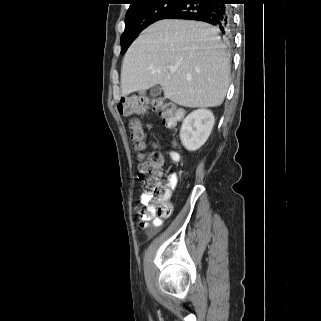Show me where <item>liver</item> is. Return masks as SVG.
<instances>
[{"label": "liver", "instance_id": "1", "mask_svg": "<svg viewBox=\"0 0 321 321\" xmlns=\"http://www.w3.org/2000/svg\"><path fill=\"white\" fill-rule=\"evenodd\" d=\"M229 75V59L217 28L165 19L147 27L127 50L122 96L160 85L165 97L180 106L217 107L226 96Z\"/></svg>", "mask_w": 321, "mask_h": 321}]
</instances>
